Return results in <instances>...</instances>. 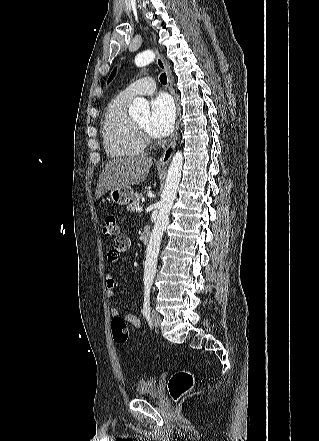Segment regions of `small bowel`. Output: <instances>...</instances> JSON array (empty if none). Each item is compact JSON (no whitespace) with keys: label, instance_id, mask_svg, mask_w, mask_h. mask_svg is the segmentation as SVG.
Masks as SVG:
<instances>
[{"label":"small bowel","instance_id":"obj_1","mask_svg":"<svg viewBox=\"0 0 319 441\" xmlns=\"http://www.w3.org/2000/svg\"><path fill=\"white\" fill-rule=\"evenodd\" d=\"M131 246V240L127 236H121L119 239H117L114 244L113 248L110 249L107 253V260L109 263H116L121 253L126 252ZM117 286V281L112 275H107L106 277V287H107V297L113 298L115 296V288ZM110 314L111 316L117 317L119 315V309L116 306H111L110 308ZM124 319L126 322L131 324L134 328L140 329L141 328V321L139 318L133 314H126Z\"/></svg>","mask_w":319,"mask_h":441}]
</instances>
